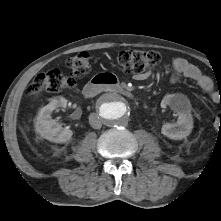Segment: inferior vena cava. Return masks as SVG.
Listing matches in <instances>:
<instances>
[{"mask_svg": "<svg viewBox=\"0 0 221 221\" xmlns=\"http://www.w3.org/2000/svg\"><path fill=\"white\" fill-rule=\"evenodd\" d=\"M89 123L94 129H100L102 126L101 119L96 113H91L89 115Z\"/></svg>", "mask_w": 221, "mask_h": 221, "instance_id": "obj_1", "label": "inferior vena cava"}]
</instances>
